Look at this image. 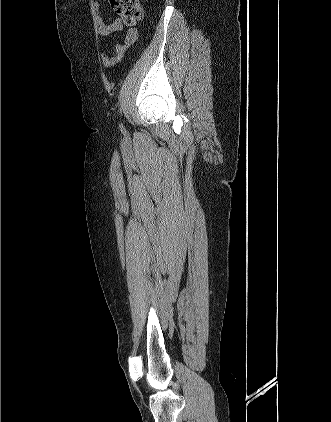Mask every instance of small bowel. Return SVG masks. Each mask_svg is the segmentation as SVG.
Segmentation results:
<instances>
[{
    "label": "small bowel",
    "instance_id": "small-bowel-1",
    "mask_svg": "<svg viewBox=\"0 0 331 422\" xmlns=\"http://www.w3.org/2000/svg\"><path fill=\"white\" fill-rule=\"evenodd\" d=\"M93 7L96 11L95 26L99 34V42L101 45H104L107 37L123 28V21L121 19H115L112 23L106 24L103 15L99 11L100 3L97 0L93 2ZM137 36L138 32L136 29H129L122 42L114 44L110 51L102 54L103 65L111 68L119 63L124 58L126 49L136 41Z\"/></svg>",
    "mask_w": 331,
    "mask_h": 422
}]
</instances>
